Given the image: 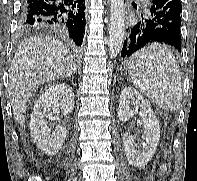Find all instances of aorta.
<instances>
[{
    "mask_svg": "<svg viewBox=\"0 0 197 181\" xmlns=\"http://www.w3.org/2000/svg\"><path fill=\"white\" fill-rule=\"evenodd\" d=\"M125 36L124 0H111L109 27V55L115 58L122 50Z\"/></svg>",
    "mask_w": 197,
    "mask_h": 181,
    "instance_id": "1",
    "label": "aorta"
}]
</instances>
